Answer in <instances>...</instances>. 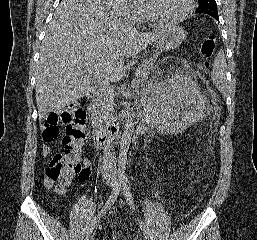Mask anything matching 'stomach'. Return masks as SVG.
<instances>
[{
	"mask_svg": "<svg viewBox=\"0 0 257 240\" xmlns=\"http://www.w3.org/2000/svg\"><path fill=\"white\" fill-rule=\"evenodd\" d=\"M185 31L182 27L174 24L165 25L161 35L155 40L160 50H171L177 48L185 39Z\"/></svg>",
	"mask_w": 257,
	"mask_h": 240,
	"instance_id": "obj_1",
	"label": "stomach"
}]
</instances>
